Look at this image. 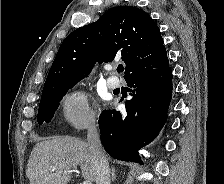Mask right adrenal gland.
Wrapping results in <instances>:
<instances>
[{
  "instance_id": "obj_1",
  "label": "right adrenal gland",
  "mask_w": 224,
  "mask_h": 184,
  "mask_svg": "<svg viewBox=\"0 0 224 184\" xmlns=\"http://www.w3.org/2000/svg\"><path fill=\"white\" fill-rule=\"evenodd\" d=\"M111 174H112V181H115L116 175H115V169H111Z\"/></svg>"
}]
</instances>
